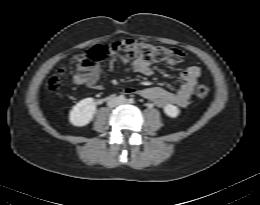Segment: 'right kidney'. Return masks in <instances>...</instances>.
<instances>
[{"mask_svg":"<svg viewBox=\"0 0 260 205\" xmlns=\"http://www.w3.org/2000/svg\"><path fill=\"white\" fill-rule=\"evenodd\" d=\"M96 113L93 98H85L73 106L69 113V121L73 126L83 127L91 122Z\"/></svg>","mask_w":260,"mask_h":205,"instance_id":"1","label":"right kidney"}]
</instances>
